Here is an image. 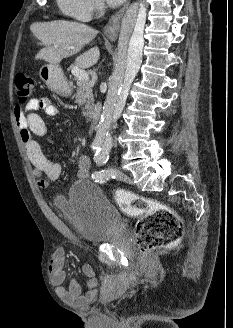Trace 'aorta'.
<instances>
[{"mask_svg":"<svg viewBox=\"0 0 233 328\" xmlns=\"http://www.w3.org/2000/svg\"><path fill=\"white\" fill-rule=\"evenodd\" d=\"M145 22L146 7L138 2L132 3L121 22L117 63L109 79L108 93L97 125L94 145L98 149L112 147L110 127L121 116L129 87L142 62Z\"/></svg>","mask_w":233,"mask_h":328,"instance_id":"obj_1","label":"aorta"}]
</instances>
